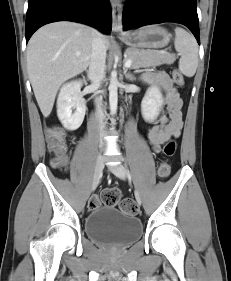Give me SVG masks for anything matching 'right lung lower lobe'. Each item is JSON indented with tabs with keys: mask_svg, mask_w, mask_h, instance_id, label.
<instances>
[{
	"mask_svg": "<svg viewBox=\"0 0 231 281\" xmlns=\"http://www.w3.org/2000/svg\"><path fill=\"white\" fill-rule=\"evenodd\" d=\"M56 21H74L109 34L112 14L109 0H29L26 43L41 26Z\"/></svg>",
	"mask_w": 231,
	"mask_h": 281,
	"instance_id": "1",
	"label": "right lung lower lobe"
}]
</instances>
